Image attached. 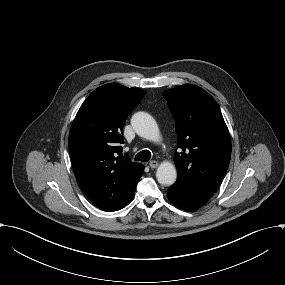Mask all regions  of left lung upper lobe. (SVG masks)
<instances>
[{
	"instance_id": "left-lung-upper-lobe-1",
	"label": "left lung upper lobe",
	"mask_w": 285,
	"mask_h": 285,
	"mask_svg": "<svg viewBox=\"0 0 285 285\" xmlns=\"http://www.w3.org/2000/svg\"><path fill=\"white\" fill-rule=\"evenodd\" d=\"M175 119L177 182L210 197L221 184L231 156L228 128L214 98L195 85L164 91Z\"/></svg>"
}]
</instances>
